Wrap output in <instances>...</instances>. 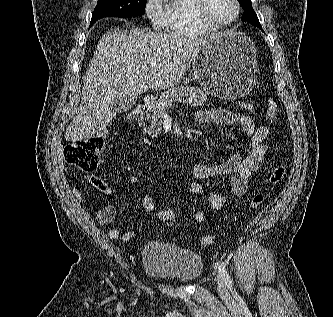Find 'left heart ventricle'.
Instances as JSON below:
<instances>
[{"mask_svg":"<svg viewBox=\"0 0 333 317\" xmlns=\"http://www.w3.org/2000/svg\"><path fill=\"white\" fill-rule=\"evenodd\" d=\"M206 13L214 22H225L235 13L233 0H207Z\"/></svg>","mask_w":333,"mask_h":317,"instance_id":"obj_1","label":"left heart ventricle"}]
</instances>
